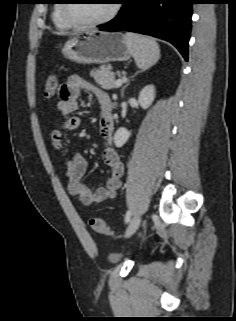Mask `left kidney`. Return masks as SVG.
<instances>
[{
	"label": "left kidney",
	"instance_id": "5707ae66",
	"mask_svg": "<svg viewBox=\"0 0 236 321\" xmlns=\"http://www.w3.org/2000/svg\"><path fill=\"white\" fill-rule=\"evenodd\" d=\"M155 99L154 85L144 87L138 97V104L147 109ZM131 132L125 128H119L114 135V143L117 147H122L129 139Z\"/></svg>",
	"mask_w": 236,
	"mask_h": 321
}]
</instances>
